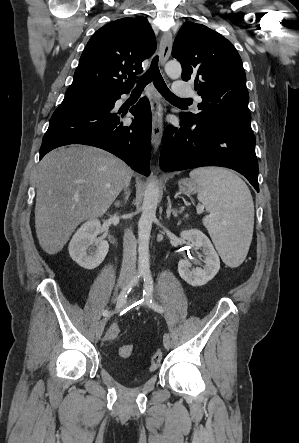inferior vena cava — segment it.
I'll return each instance as SVG.
<instances>
[{"mask_svg":"<svg viewBox=\"0 0 299 443\" xmlns=\"http://www.w3.org/2000/svg\"><path fill=\"white\" fill-rule=\"evenodd\" d=\"M128 183L125 185L127 188ZM136 239L131 230H127L123 237V262L120 276H132L136 270Z\"/></svg>","mask_w":299,"mask_h":443,"instance_id":"602c4592","label":"inferior vena cava"}]
</instances>
